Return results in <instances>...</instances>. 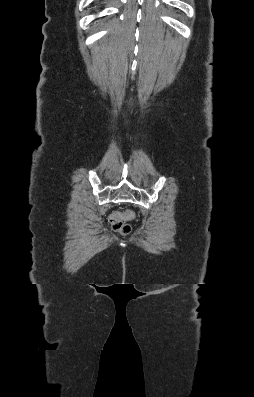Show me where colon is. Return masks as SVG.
<instances>
[{
  "mask_svg": "<svg viewBox=\"0 0 254 397\" xmlns=\"http://www.w3.org/2000/svg\"><path fill=\"white\" fill-rule=\"evenodd\" d=\"M135 216L132 210H123L114 213L110 218L112 229L120 234L126 235L131 231V226L128 223L129 220Z\"/></svg>",
  "mask_w": 254,
  "mask_h": 397,
  "instance_id": "obj_1",
  "label": "colon"
}]
</instances>
